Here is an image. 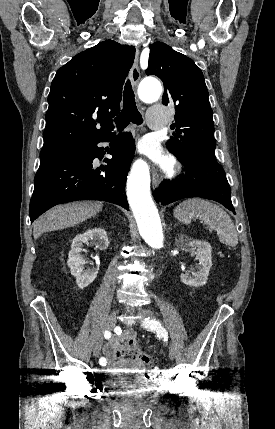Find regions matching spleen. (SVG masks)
Wrapping results in <instances>:
<instances>
[{
  "mask_svg": "<svg viewBox=\"0 0 275 429\" xmlns=\"http://www.w3.org/2000/svg\"><path fill=\"white\" fill-rule=\"evenodd\" d=\"M174 216L184 224H190L192 219H199L215 230L221 243L236 246L238 236L234 223L229 215L218 205L201 198H192L180 203L174 210Z\"/></svg>",
  "mask_w": 275,
  "mask_h": 429,
  "instance_id": "3e777b00",
  "label": "spleen"
}]
</instances>
